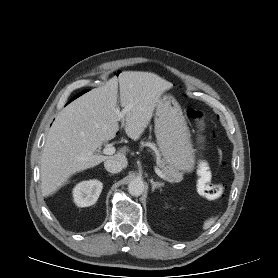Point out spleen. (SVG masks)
<instances>
[{
    "mask_svg": "<svg viewBox=\"0 0 278 278\" xmlns=\"http://www.w3.org/2000/svg\"><path fill=\"white\" fill-rule=\"evenodd\" d=\"M214 222H215V219L213 218V219H209L208 221H206L205 223H204V229H208V228H210L213 224H214Z\"/></svg>",
    "mask_w": 278,
    "mask_h": 278,
    "instance_id": "spleen-1",
    "label": "spleen"
}]
</instances>
